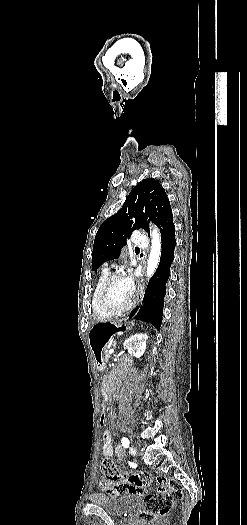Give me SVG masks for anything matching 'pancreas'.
I'll use <instances>...</instances> for the list:
<instances>
[{
    "instance_id": "cf45deb5",
    "label": "pancreas",
    "mask_w": 247,
    "mask_h": 525,
    "mask_svg": "<svg viewBox=\"0 0 247 525\" xmlns=\"http://www.w3.org/2000/svg\"><path fill=\"white\" fill-rule=\"evenodd\" d=\"M108 357H110L109 349L105 348L103 350V355H101V360H108Z\"/></svg>"
}]
</instances>
